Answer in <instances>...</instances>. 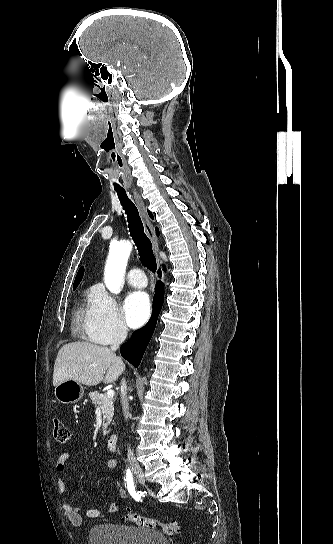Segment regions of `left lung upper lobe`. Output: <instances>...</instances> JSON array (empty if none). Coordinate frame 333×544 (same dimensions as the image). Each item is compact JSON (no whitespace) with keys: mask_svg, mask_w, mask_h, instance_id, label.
<instances>
[{"mask_svg":"<svg viewBox=\"0 0 333 544\" xmlns=\"http://www.w3.org/2000/svg\"><path fill=\"white\" fill-rule=\"evenodd\" d=\"M148 213H149L150 217L153 218V215L149 211H148Z\"/></svg>","mask_w":333,"mask_h":544,"instance_id":"left-lung-upper-lobe-1","label":"left lung upper lobe"}]
</instances>
